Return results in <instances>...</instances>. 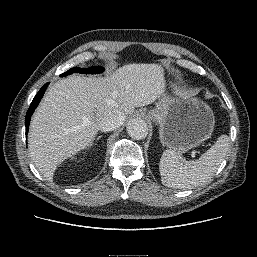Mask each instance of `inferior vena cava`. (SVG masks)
Instances as JSON below:
<instances>
[{"label": "inferior vena cava", "instance_id": "obj_1", "mask_svg": "<svg viewBox=\"0 0 257 257\" xmlns=\"http://www.w3.org/2000/svg\"><path fill=\"white\" fill-rule=\"evenodd\" d=\"M124 119V114L119 111H114L101 118L99 121V129L103 132L114 130L122 125Z\"/></svg>", "mask_w": 257, "mask_h": 257}]
</instances>
